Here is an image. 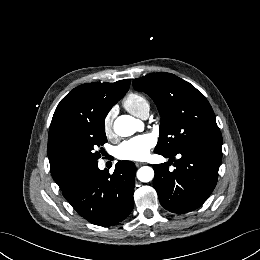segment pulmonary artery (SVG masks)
I'll return each mask as SVG.
<instances>
[{
    "instance_id": "pulmonary-artery-1",
    "label": "pulmonary artery",
    "mask_w": 260,
    "mask_h": 260,
    "mask_svg": "<svg viewBox=\"0 0 260 260\" xmlns=\"http://www.w3.org/2000/svg\"><path fill=\"white\" fill-rule=\"evenodd\" d=\"M148 115H149V109L144 110V111L142 112V114H141L140 117L143 118V119H145V118L148 117Z\"/></svg>"
}]
</instances>
